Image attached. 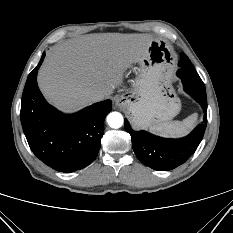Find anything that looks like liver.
Instances as JSON below:
<instances>
[{"label": "liver", "instance_id": "1", "mask_svg": "<svg viewBox=\"0 0 233 233\" xmlns=\"http://www.w3.org/2000/svg\"><path fill=\"white\" fill-rule=\"evenodd\" d=\"M154 38L149 34H88L67 40L47 53L38 73L44 97L64 112L92 104V95L109 97L124 73L143 59Z\"/></svg>", "mask_w": 233, "mask_h": 233}]
</instances>
